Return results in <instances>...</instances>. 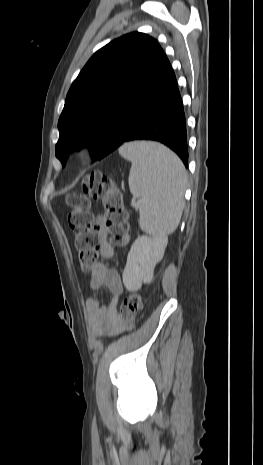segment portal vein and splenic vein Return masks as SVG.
Listing matches in <instances>:
<instances>
[{
	"mask_svg": "<svg viewBox=\"0 0 263 465\" xmlns=\"http://www.w3.org/2000/svg\"><path fill=\"white\" fill-rule=\"evenodd\" d=\"M134 206H135V207H139V206H140V203H139V202H135V203H134Z\"/></svg>",
	"mask_w": 263,
	"mask_h": 465,
	"instance_id": "18ae733b",
	"label": "portal vein and splenic vein"
}]
</instances>
